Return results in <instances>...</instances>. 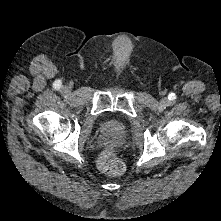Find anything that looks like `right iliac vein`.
<instances>
[{
    "label": "right iliac vein",
    "mask_w": 221,
    "mask_h": 221,
    "mask_svg": "<svg viewBox=\"0 0 221 221\" xmlns=\"http://www.w3.org/2000/svg\"><path fill=\"white\" fill-rule=\"evenodd\" d=\"M63 91H64V92H68L69 89H68V88H63Z\"/></svg>",
    "instance_id": "1"
}]
</instances>
